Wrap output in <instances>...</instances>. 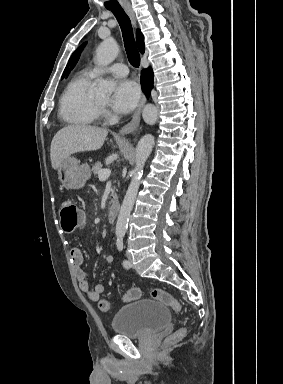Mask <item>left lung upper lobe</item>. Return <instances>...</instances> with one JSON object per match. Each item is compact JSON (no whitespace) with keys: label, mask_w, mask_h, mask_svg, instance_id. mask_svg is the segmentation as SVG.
<instances>
[{"label":"left lung upper lobe","mask_w":283,"mask_h":384,"mask_svg":"<svg viewBox=\"0 0 283 384\" xmlns=\"http://www.w3.org/2000/svg\"><path fill=\"white\" fill-rule=\"evenodd\" d=\"M81 48H82V46H80V47H79V48L72 54V56H71V58H70V60H69V62H68V65H67V67H66V69H65V71H64V73H63L62 78L64 77V75H65V73H66V71H67V69H68V66L71 64V62H72L73 59L76 57V55L80 52Z\"/></svg>","instance_id":"left-lung-upper-lobe-1"}]
</instances>
